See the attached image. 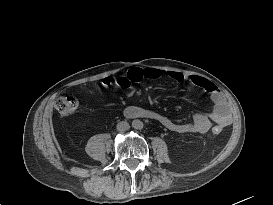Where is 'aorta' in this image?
Here are the masks:
<instances>
[{
	"label": "aorta",
	"instance_id": "aorta-1",
	"mask_svg": "<svg viewBox=\"0 0 273 205\" xmlns=\"http://www.w3.org/2000/svg\"><path fill=\"white\" fill-rule=\"evenodd\" d=\"M132 127L134 129H142L143 128V122L140 121L139 119L133 120L132 121Z\"/></svg>",
	"mask_w": 273,
	"mask_h": 205
}]
</instances>
